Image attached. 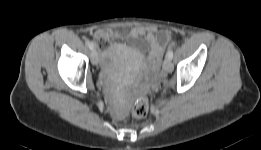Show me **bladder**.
Instances as JSON below:
<instances>
[{
    "label": "bladder",
    "mask_w": 261,
    "mask_h": 150,
    "mask_svg": "<svg viewBox=\"0 0 261 150\" xmlns=\"http://www.w3.org/2000/svg\"><path fill=\"white\" fill-rule=\"evenodd\" d=\"M116 63H117V55L115 53L108 55L104 60V65L107 69L115 67Z\"/></svg>",
    "instance_id": "bladder-1"
}]
</instances>
